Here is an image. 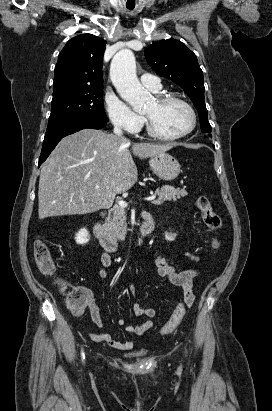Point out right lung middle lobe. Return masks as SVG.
Instances as JSON below:
<instances>
[{
  "label": "right lung middle lobe",
  "instance_id": "right-lung-middle-lobe-1",
  "mask_svg": "<svg viewBox=\"0 0 272 411\" xmlns=\"http://www.w3.org/2000/svg\"><path fill=\"white\" fill-rule=\"evenodd\" d=\"M81 119L108 122L103 106V85L70 88L53 93L46 132Z\"/></svg>",
  "mask_w": 272,
  "mask_h": 411
}]
</instances>
